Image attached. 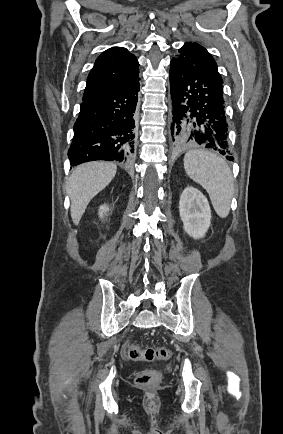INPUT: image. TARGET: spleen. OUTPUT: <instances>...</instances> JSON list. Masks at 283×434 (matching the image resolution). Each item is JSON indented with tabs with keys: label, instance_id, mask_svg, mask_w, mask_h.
Wrapping results in <instances>:
<instances>
[{
	"label": "spleen",
	"instance_id": "3e777b00",
	"mask_svg": "<svg viewBox=\"0 0 283 434\" xmlns=\"http://www.w3.org/2000/svg\"><path fill=\"white\" fill-rule=\"evenodd\" d=\"M184 168L187 175L208 192L218 216L227 217L234 191L227 163L210 152L192 150L184 156Z\"/></svg>",
	"mask_w": 283,
	"mask_h": 434
}]
</instances>
